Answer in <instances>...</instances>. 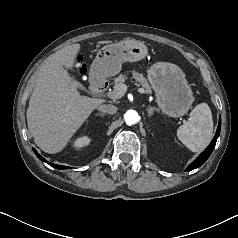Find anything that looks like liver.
Returning <instances> with one entry per match:
<instances>
[{
	"label": "liver",
	"mask_w": 238,
	"mask_h": 238,
	"mask_svg": "<svg viewBox=\"0 0 238 238\" xmlns=\"http://www.w3.org/2000/svg\"><path fill=\"white\" fill-rule=\"evenodd\" d=\"M111 43L99 41L98 44ZM80 44L66 46L47 58L26 112L28 129L36 145L47 153H58L104 100L80 95L77 82L64 69L72 68Z\"/></svg>",
	"instance_id": "1"
}]
</instances>
